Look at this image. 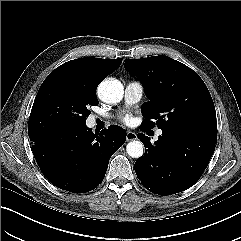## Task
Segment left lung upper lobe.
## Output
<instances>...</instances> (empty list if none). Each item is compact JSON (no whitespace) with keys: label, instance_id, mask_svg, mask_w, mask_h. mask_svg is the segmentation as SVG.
<instances>
[{"label":"left lung upper lobe","instance_id":"left-lung-upper-lobe-1","mask_svg":"<svg viewBox=\"0 0 241 241\" xmlns=\"http://www.w3.org/2000/svg\"><path fill=\"white\" fill-rule=\"evenodd\" d=\"M125 69L145 88L141 129L175 128L217 135L211 95L200 76L183 63L164 55L126 59Z\"/></svg>","mask_w":241,"mask_h":241}]
</instances>
